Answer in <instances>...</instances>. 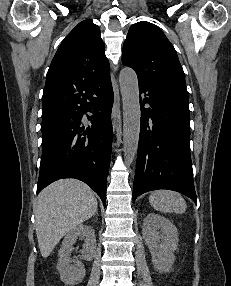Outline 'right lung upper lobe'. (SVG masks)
<instances>
[{
	"mask_svg": "<svg viewBox=\"0 0 231 286\" xmlns=\"http://www.w3.org/2000/svg\"><path fill=\"white\" fill-rule=\"evenodd\" d=\"M110 76L109 61L99 27L80 22L63 40L49 67L43 110H53L76 89Z\"/></svg>",
	"mask_w": 231,
	"mask_h": 286,
	"instance_id": "1",
	"label": "right lung upper lobe"
}]
</instances>
